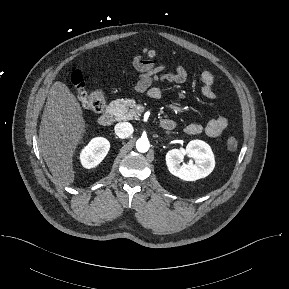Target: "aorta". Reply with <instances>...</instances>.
Masks as SVG:
<instances>
[{"label":"aorta","mask_w":289,"mask_h":289,"mask_svg":"<svg viewBox=\"0 0 289 289\" xmlns=\"http://www.w3.org/2000/svg\"><path fill=\"white\" fill-rule=\"evenodd\" d=\"M150 144L147 138H139L136 142V149L139 152L145 153L149 150Z\"/></svg>","instance_id":"obj_1"}]
</instances>
